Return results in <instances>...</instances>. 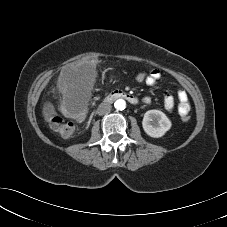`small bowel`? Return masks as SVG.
I'll return each mask as SVG.
<instances>
[{"mask_svg": "<svg viewBox=\"0 0 227 227\" xmlns=\"http://www.w3.org/2000/svg\"><path fill=\"white\" fill-rule=\"evenodd\" d=\"M161 78V72L159 69H153L149 72L148 79L146 81V85L154 86ZM177 100H178V112L179 114L182 113H189L190 111V104L187 93L183 90L178 91L177 93ZM145 103L150 102L149 97H145L143 100ZM175 105L174 97L166 93L164 96V108L167 111H172Z\"/></svg>", "mask_w": 227, "mask_h": 227, "instance_id": "obj_1", "label": "small bowel"}]
</instances>
